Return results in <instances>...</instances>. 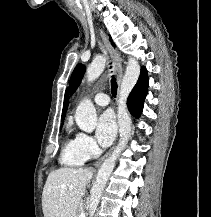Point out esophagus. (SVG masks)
<instances>
[{
	"mask_svg": "<svg viewBox=\"0 0 211 217\" xmlns=\"http://www.w3.org/2000/svg\"><path fill=\"white\" fill-rule=\"evenodd\" d=\"M100 34H101V37H102L110 55H111L113 65H114L116 73H117L118 84L120 85V83L122 81V77H123V68H122L121 58H120L117 50L110 43L108 36L102 30H100ZM113 148H114V146L108 152H106L100 159H98L95 162L94 166L99 167L101 165V163L109 156V154L111 153Z\"/></svg>",
	"mask_w": 211,
	"mask_h": 217,
	"instance_id": "34e87169",
	"label": "esophagus"
}]
</instances>
